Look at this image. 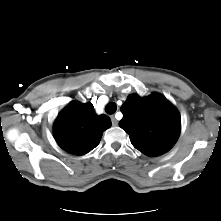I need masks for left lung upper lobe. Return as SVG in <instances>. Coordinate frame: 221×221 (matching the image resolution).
I'll use <instances>...</instances> for the list:
<instances>
[{
	"mask_svg": "<svg viewBox=\"0 0 221 221\" xmlns=\"http://www.w3.org/2000/svg\"><path fill=\"white\" fill-rule=\"evenodd\" d=\"M123 118L119 126L130 137L132 145L147 156L169 151L180 134V115L162 95L147 97L130 95L120 108Z\"/></svg>",
	"mask_w": 221,
	"mask_h": 221,
	"instance_id": "left-lung-upper-lobe-1",
	"label": "left lung upper lobe"
}]
</instances>
